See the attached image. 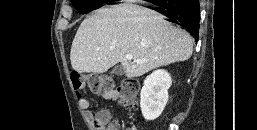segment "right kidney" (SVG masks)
I'll return each mask as SVG.
<instances>
[{
	"label": "right kidney",
	"mask_w": 257,
	"mask_h": 130,
	"mask_svg": "<svg viewBox=\"0 0 257 130\" xmlns=\"http://www.w3.org/2000/svg\"><path fill=\"white\" fill-rule=\"evenodd\" d=\"M172 84L170 74L156 70L146 77L140 93V108L146 120L158 118L168 102V89Z\"/></svg>",
	"instance_id": "right-kidney-1"
}]
</instances>
